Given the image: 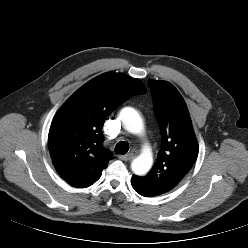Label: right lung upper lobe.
<instances>
[{"instance_id":"right-lung-upper-lobe-1","label":"right lung upper lobe","mask_w":248,"mask_h":248,"mask_svg":"<svg viewBox=\"0 0 248 248\" xmlns=\"http://www.w3.org/2000/svg\"><path fill=\"white\" fill-rule=\"evenodd\" d=\"M141 81L107 72L78 89L55 115L48 136L58 174L70 185L95 183L108 166L111 152L103 147L105 118L130 97L144 94Z\"/></svg>"}]
</instances>
